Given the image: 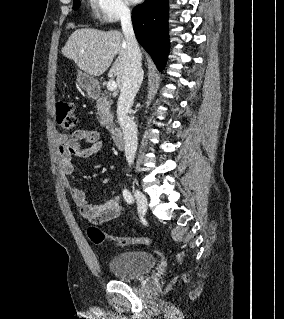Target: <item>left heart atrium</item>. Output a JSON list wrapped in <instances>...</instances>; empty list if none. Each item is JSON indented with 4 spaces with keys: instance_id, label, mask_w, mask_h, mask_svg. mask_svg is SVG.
Returning <instances> with one entry per match:
<instances>
[{
    "instance_id": "left-heart-atrium-1",
    "label": "left heart atrium",
    "mask_w": 284,
    "mask_h": 319,
    "mask_svg": "<svg viewBox=\"0 0 284 319\" xmlns=\"http://www.w3.org/2000/svg\"><path fill=\"white\" fill-rule=\"evenodd\" d=\"M130 3H138L140 2L141 0H128Z\"/></svg>"
}]
</instances>
